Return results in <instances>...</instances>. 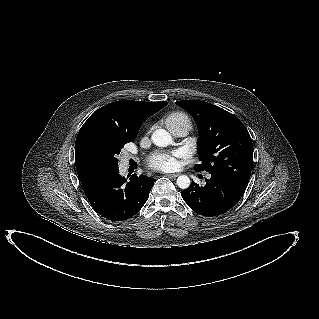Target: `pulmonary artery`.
I'll list each match as a JSON object with an SVG mask.
<instances>
[{
  "label": "pulmonary artery",
  "mask_w": 319,
  "mask_h": 319,
  "mask_svg": "<svg viewBox=\"0 0 319 319\" xmlns=\"http://www.w3.org/2000/svg\"><path fill=\"white\" fill-rule=\"evenodd\" d=\"M169 130L175 137H184L187 135L189 129L183 125H175L170 127ZM127 158H130V156Z\"/></svg>",
  "instance_id": "1"
}]
</instances>
